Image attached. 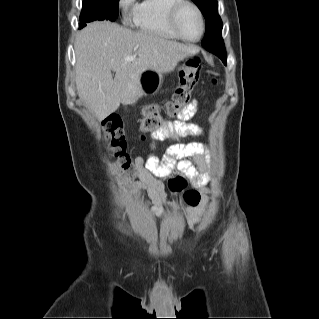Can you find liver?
Here are the masks:
<instances>
[{"mask_svg": "<svg viewBox=\"0 0 319 319\" xmlns=\"http://www.w3.org/2000/svg\"><path fill=\"white\" fill-rule=\"evenodd\" d=\"M74 49L77 94L98 120L115 112L121 103L132 104L142 95V71L169 73L179 61L198 52L194 46L108 21L89 23L78 32ZM127 56L135 59L125 61Z\"/></svg>", "mask_w": 319, "mask_h": 319, "instance_id": "6515ba94", "label": "liver"}]
</instances>
